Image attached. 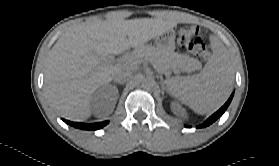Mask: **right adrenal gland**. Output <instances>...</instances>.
<instances>
[{"instance_id":"2a0ac1e0","label":"right adrenal gland","mask_w":279,"mask_h":166,"mask_svg":"<svg viewBox=\"0 0 279 166\" xmlns=\"http://www.w3.org/2000/svg\"><path fill=\"white\" fill-rule=\"evenodd\" d=\"M116 83H118V82H116ZM123 83H124V82H119L120 85H123Z\"/></svg>"}]
</instances>
